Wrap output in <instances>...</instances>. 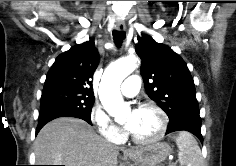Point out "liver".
Returning <instances> with one entry per match:
<instances>
[{
  "instance_id": "1",
  "label": "liver",
  "mask_w": 236,
  "mask_h": 166,
  "mask_svg": "<svg viewBox=\"0 0 236 166\" xmlns=\"http://www.w3.org/2000/svg\"><path fill=\"white\" fill-rule=\"evenodd\" d=\"M36 165L117 166L118 148L96 134L85 121L57 118L34 142Z\"/></svg>"
}]
</instances>
